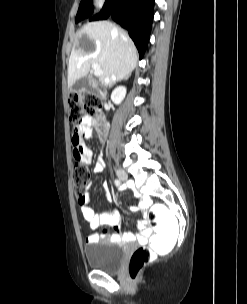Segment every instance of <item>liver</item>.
I'll use <instances>...</instances> for the list:
<instances>
[{
    "label": "liver",
    "mask_w": 247,
    "mask_h": 304,
    "mask_svg": "<svg viewBox=\"0 0 247 304\" xmlns=\"http://www.w3.org/2000/svg\"><path fill=\"white\" fill-rule=\"evenodd\" d=\"M81 40H87L84 46ZM138 53L128 34L109 21L86 24L77 33L68 64V88L88 75L92 64H99L102 85L128 79L137 65Z\"/></svg>",
    "instance_id": "1"
}]
</instances>
